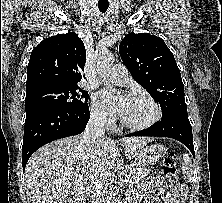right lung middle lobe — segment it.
<instances>
[{
  "mask_svg": "<svg viewBox=\"0 0 222 203\" xmlns=\"http://www.w3.org/2000/svg\"><path fill=\"white\" fill-rule=\"evenodd\" d=\"M88 92L78 85L47 86L26 91L25 110L56 106L67 109L88 107Z\"/></svg>",
  "mask_w": 222,
  "mask_h": 203,
  "instance_id": "1",
  "label": "right lung middle lobe"
}]
</instances>
